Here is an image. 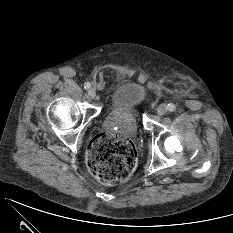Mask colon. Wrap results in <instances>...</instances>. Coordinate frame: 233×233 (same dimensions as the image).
I'll list each match as a JSON object with an SVG mask.
<instances>
[{
  "instance_id": "5ec220e1",
  "label": "colon",
  "mask_w": 233,
  "mask_h": 233,
  "mask_svg": "<svg viewBox=\"0 0 233 233\" xmlns=\"http://www.w3.org/2000/svg\"><path fill=\"white\" fill-rule=\"evenodd\" d=\"M86 160L88 169L99 181L112 185L130 177L136 166L137 153L128 137L103 132L91 140Z\"/></svg>"
}]
</instances>
